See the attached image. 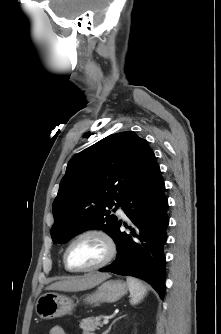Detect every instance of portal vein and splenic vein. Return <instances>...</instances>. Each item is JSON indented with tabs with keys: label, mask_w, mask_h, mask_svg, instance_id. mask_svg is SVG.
I'll return each instance as SVG.
<instances>
[{
	"label": "portal vein and splenic vein",
	"mask_w": 221,
	"mask_h": 334,
	"mask_svg": "<svg viewBox=\"0 0 221 334\" xmlns=\"http://www.w3.org/2000/svg\"><path fill=\"white\" fill-rule=\"evenodd\" d=\"M109 320L108 319H104L103 320V324H108Z\"/></svg>",
	"instance_id": "18ae733b"
}]
</instances>
